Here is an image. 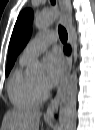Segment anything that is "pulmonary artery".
Returning <instances> with one entry per match:
<instances>
[{
  "mask_svg": "<svg viewBox=\"0 0 95 130\" xmlns=\"http://www.w3.org/2000/svg\"><path fill=\"white\" fill-rule=\"evenodd\" d=\"M57 41V36L53 31H45L37 34L23 50L20 59L29 61L36 58L45 51L48 46Z\"/></svg>",
  "mask_w": 95,
  "mask_h": 130,
  "instance_id": "e3ab8cb5",
  "label": "pulmonary artery"
}]
</instances>
